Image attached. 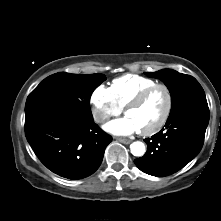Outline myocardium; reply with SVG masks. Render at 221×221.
<instances>
[{"instance_id": "obj_1", "label": "myocardium", "mask_w": 221, "mask_h": 221, "mask_svg": "<svg viewBox=\"0 0 221 221\" xmlns=\"http://www.w3.org/2000/svg\"><path fill=\"white\" fill-rule=\"evenodd\" d=\"M163 89L166 92L167 96V106L165 109V112L160 119V121L153 126L152 128H149L147 130H141L140 133L144 136H151L156 133H158L167 123L171 116L172 108H173V95L171 92V89L164 83H156L145 90H143L141 93H139L136 97H134L125 107H124V113L127 114V112L130 109H133L139 105H141L146 99L156 90V89Z\"/></svg>"}]
</instances>
